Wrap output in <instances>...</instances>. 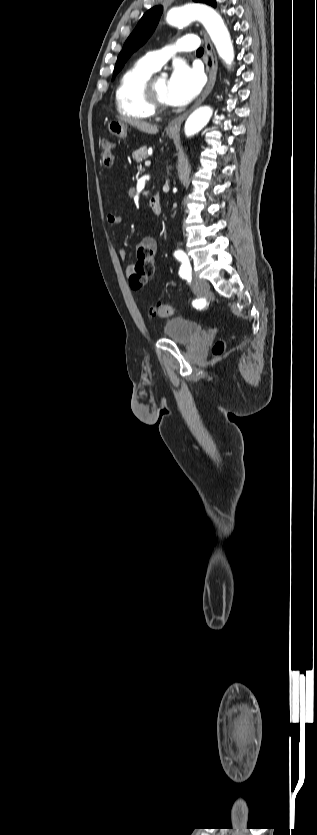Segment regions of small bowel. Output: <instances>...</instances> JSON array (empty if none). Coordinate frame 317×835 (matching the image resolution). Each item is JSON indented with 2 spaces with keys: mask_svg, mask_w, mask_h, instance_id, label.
<instances>
[{
  "mask_svg": "<svg viewBox=\"0 0 317 835\" xmlns=\"http://www.w3.org/2000/svg\"><path fill=\"white\" fill-rule=\"evenodd\" d=\"M107 222L112 226H116L120 224L121 217L116 213H108L107 215ZM157 252V244L156 241L151 237L143 238L139 244L137 245V252L136 257L137 261L142 258L146 261L154 262ZM118 255L120 259L125 260L127 257L126 251L122 248L118 250ZM134 269L133 266L128 267V271L132 272Z\"/></svg>",
  "mask_w": 317,
  "mask_h": 835,
  "instance_id": "obj_1",
  "label": "small bowel"
}]
</instances>
